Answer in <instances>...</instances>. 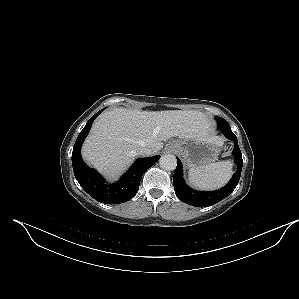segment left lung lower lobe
<instances>
[{
	"label": "left lung lower lobe",
	"instance_id": "left-lung-lower-lobe-1",
	"mask_svg": "<svg viewBox=\"0 0 299 299\" xmlns=\"http://www.w3.org/2000/svg\"><path fill=\"white\" fill-rule=\"evenodd\" d=\"M216 120L219 129L223 131L224 135L228 139L234 141L235 145L232 154L235 157V164H237L238 168L231 180L229 181V183L223 188L211 192H200L191 189L185 184L184 179L182 177V164L180 160L177 158V167L173 176V185L175 193L181 201L195 207H207L210 205H214L217 202L229 196L237 186L242 171L243 160L241 151L238 146L237 137L231 131L230 126L226 120Z\"/></svg>",
	"mask_w": 299,
	"mask_h": 299
}]
</instances>
